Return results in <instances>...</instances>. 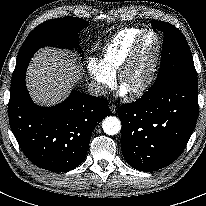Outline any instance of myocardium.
Listing matches in <instances>:
<instances>
[{
    "mask_svg": "<svg viewBox=\"0 0 206 206\" xmlns=\"http://www.w3.org/2000/svg\"><path fill=\"white\" fill-rule=\"evenodd\" d=\"M149 35L154 36L156 39L155 55H154L153 61L151 63V66L149 68V71H148L146 77L144 78V80L141 81L136 86H134L133 88L128 90L132 95H140V94L144 93L145 91H147L150 88V86L153 84V82L155 80V77H156V74L158 71V67L160 64V60H161V56H162V48H163L162 39H161L160 35L157 32H155L154 30H145L138 37L131 52L129 53L127 58L123 61V63L121 64V66L119 67V69L117 71V78H118L119 84L121 86H123L126 75L130 71L132 66L135 64V62L139 56L142 44L144 43L146 37Z\"/></svg>",
    "mask_w": 206,
    "mask_h": 206,
    "instance_id": "1",
    "label": "myocardium"
}]
</instances>
